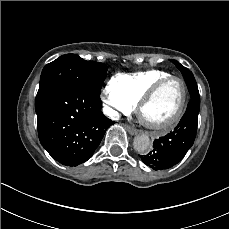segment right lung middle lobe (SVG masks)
Masks as SVG:
<instances>
[{
    "label": "right lung middle lobe",
    "mask_w": 229,
    "mask_h": 229,
    "mask_svg": "<svg viewBox=\"0 0 229 229\" xmlns=\"http://www.w3.org/2000/svg\"><path fill=\"white\" fill-rule=\"evenodd\" d=\"M106 76L107 66L103 63L86 61L76 54L62 55L42 70L36 100L51 88L64 83L79 84L100 93Z\"/></svg>",
    "instance_id": "right-lung-middle-lobe-1"
}]
</instances>
